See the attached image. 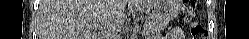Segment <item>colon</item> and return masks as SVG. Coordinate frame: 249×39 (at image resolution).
Listing matches in <instances>:
<instances>
[{
	"instance_id": "obj_1",
	"label": "colon",
	"mask_w": 249,
	"mask_h": 39,
	"mask_svg": "<svg viewBox=\"0 0 249 39\" xmlns=\"http://www.w3.org/2000/svg\"><path fill=\"white\" fill-rule=\"evenodd\" d=\"M197 8L198 0H185L182 10L190 19L195 14ZM191 33L194 39H201L206 36L205 29L201 25L194 22L191 24Z\"/></svg>"
}]
</instances>
